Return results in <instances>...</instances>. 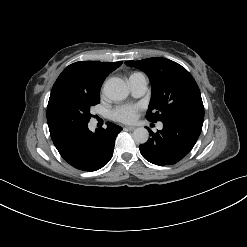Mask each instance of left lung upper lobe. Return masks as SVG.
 <instances>
[{"instance_id":"obj_1","label":"left lung upper lobe","mask_w":247,"mask_h":247,"mask_svg":"<svg viewBox=\"0 0 247 247\" xmlns=\"http://www.w3.org/2000/svg\"><path fill=\"white\" fill-rule=\"evenodd\" d=\"M126 64L145 72L152 84V98L146 118L151 122L171 118L204 120V106L192 75L180 64L153 57Z\"/></svg>"}]
</instances>
